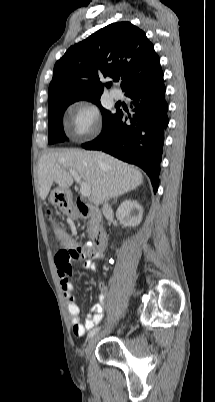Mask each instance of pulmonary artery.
<instances>
[{
    "instance_id": "obj_1",
    "label": "pulmonary artery",
    "mask_w": 215,
    "mask_h": 402,
    "mask_svg": "<svg viewBox=\"0 0 215 402\" xmlns=\"http://www.w3.org/2000/svg\"><path fill=\"white\" fill-rule=\"evenodd\" d=\"M111 96L115 100H121L123 98V93L119 89H113V90H111Z\"/></svg>"
}]
</instances>
